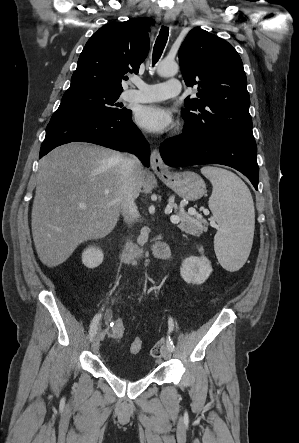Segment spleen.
<instances>
[{
  "label": "spleen",
  "mask_w": 299,
  "mask_h": 443,
  "mask_svg": "<svg viewBox=\"0 0 299 443\" xmlns=\"http://www.w3.org/2000/svg\"><path fill=\"white\" fill-rule=\"evenodd\" d=\"M201 172L213 186L209 208L219 225L214 237L217 259L226 270L237 271L246 262L253 241L255 212L251 193L228 170L206 166Z\"/></svg>",
  "instance_id": "obj_1"
}]
</instances>
